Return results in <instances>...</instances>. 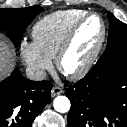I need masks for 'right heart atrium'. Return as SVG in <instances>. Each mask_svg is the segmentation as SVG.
<instances>
[{"label":"right heart atrium","mask_w":127,"mask_h":127,"mask_svg":"<svg viewBox=\"0 0 127 127\" xmlns=\"http://www.w3.org/2000/svg\"><path fill=\"white\" fill-rule=\"evenodd\" d=\"M20 53L27 70L36 79H42L46 71L52 68V61L44 55L34 42L23 40Z\"/></svg>","instance_id":"1"}]
</instances>
